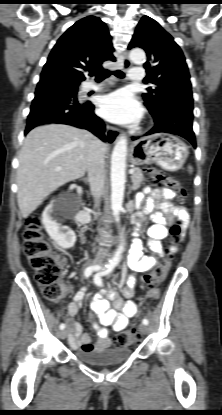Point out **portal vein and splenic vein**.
Masks as SVG:
<instances>
[{"instance_id":"obj_1","label":"portal vein and splenic vein","mask_w":222,"mask_h":415,"mask_svg":"<svg viewBox=\"0 0 222 415\" xmlns=\"http://www.w3.org/2000/svg\"><path fill=\"white\" fill-rule=\"evenodd\" d=\"M57 170H61V168H58ZM129 173H130V174H133V173H134V169H130V170H129Z\"/></svg>"}]
</instances>
